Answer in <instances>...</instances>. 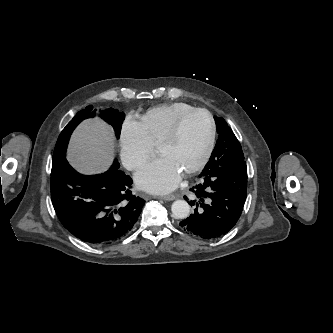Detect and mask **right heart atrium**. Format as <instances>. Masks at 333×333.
Listing matches in <instances>:
<instances>
[{
    "instance_id": "d8ad5b80",
    "label": "right heart atrium",
    "mask_w": 333,
    "mask_h": 333,
    "mask_svg": "<svg viewBox=\"0 0 333 333\" xmlns=\"http://www.w3.org/2000/svg\"><path fill=\"white\" fill-rule=\"evenodd\" d=\"M119 147L123 165L133 171L140 168L149 159L155 145L141 121L127 116L120 127Z\"/></svg>"
}]
</instances>
